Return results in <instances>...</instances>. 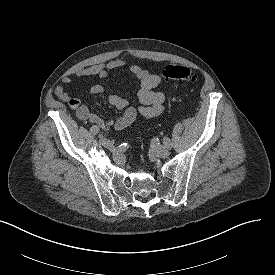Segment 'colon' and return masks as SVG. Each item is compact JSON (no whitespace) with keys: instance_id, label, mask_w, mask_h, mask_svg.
Returning a JSON list of instances; mask_svg holds the SVG:
<instances>
[{"instance_id":"5ec220e1","label":"colon","mask_w":275,"mask_h":275,"mask_svg":"<svg viewBox=\"0 0 275 275\" xmlns=\"http://www.w3.org/2000/svg\"><path fill=\"white\" fill-rule=\"evenodd\" d=\"M162 76L168 81H179L186 84H192L197 80L192 69L184 65H168L162 70Z\"/></svg>"}]
</instances>
